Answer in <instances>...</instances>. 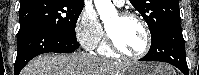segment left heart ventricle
I'll return each instance as SVG.
<instances>
[{
	"label": "left heart ventricle",
	"mask_w": 199,
	"mask_h": 75,
	"mask_svg": "<svg viewBox=\"0 0 199 75\" xmlns=\"http://www.w3.org/2000/svg\"><path fill=\"white\" fill-rule=\"evenodd\" d=\"M106 27L115 43L127 54H137L144 49L145 34L136 20L117 15Z\"/></svg>",
	"instance_id": "obj_1"
}]
</instances>
